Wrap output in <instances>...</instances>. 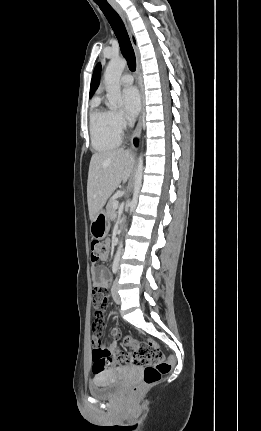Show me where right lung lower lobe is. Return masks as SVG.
I'll use <instances>...</instances> for the list:
<instances>
[{"label": "right lung lower lobe", "mask_w": 261, "mask_h": 431, "mask_svg": "<svg viewBox=\"0 0 261 431\" xmlns=\"http://www.w3.org/2000/svg\"><path fill=\"white\" fill-rule=\"evenodd\" d=\"M134 144H135V145H137V144H138V141H137L136 139L134 140Z\"/></svg>", "instance_id": "obj_1"}]
</instances>
